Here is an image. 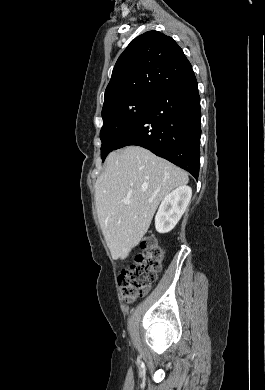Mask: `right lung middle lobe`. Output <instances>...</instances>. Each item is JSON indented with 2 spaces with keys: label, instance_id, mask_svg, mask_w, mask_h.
<instances>
[{
  "label": "right lung middle lobe",
  "instance_id": "1",
  "mask_svg": "<svg viewBox=\"0 0 265 390\" xmlns=\"http://www.w3.org/2000/svg\"><path fill=\"white\" fill-rule=\"evenodd\" d=\"M155 97V95L150 94H136L102 109L103 126L100 131V139L103 161L112 150H115L124 133L147 109Z\"/></svg>",
  "mask_w": 265,
  "mask_h": 390
}]
</instances>
